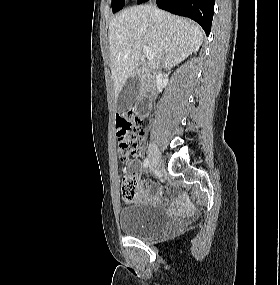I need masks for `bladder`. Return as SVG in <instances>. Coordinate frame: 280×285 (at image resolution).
I'll return each instance as SVG.
<instances>
[{"instance_id": "bladder-1", "label": "bladder", "mask_w": 280, "mask_h": 285, "mask_svg": "<svg viewBox=\"0 0 280 285\" xmlns=\"http://www.w3.org/2000/svg\"><path fill=\"white\" fill-rule=\"evenodd\" d=\"M118 222L125 234L148 238L161 233L171 222V218L153 205L136 202L120 210Z\"/></svg>"}]
</instances>
